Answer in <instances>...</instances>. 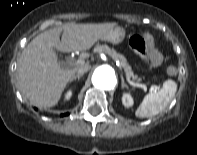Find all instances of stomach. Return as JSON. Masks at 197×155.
Here are the masks:
<instances>
[{
  "mask_svg": "<svg viewBox=\"0 0 197 155\" xmlns=\"http://www.w3.org/2000/svg\"><path fill=\"white\" fill-rule=\"evenodd\" d=\"M125 35H126L125 29L120 26H116L110 29L109 31H107L101 37V40L108 41L113 44H118L124 40Z\"/></svg>",
  "mask_w": 197,
  "mask_h": 155,
  "instance_id": "0dacf381",
  "label": "stomach"
}]
</instances>
